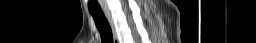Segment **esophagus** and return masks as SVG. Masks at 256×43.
<instances>
[{
    "label": "esophagus",
    "instance_id": "esophagus-1",
    "mask_svg": "<svg viewBox=\"0 0 256 43\" xmlns=\"http://www.w3.org/2000/svg\"><path fill=\"white\" fill-rule=\"evenodd\" d=\"M109 24H110V27L112 29V33H113V42L114 43H119V40H118V37H117V34H116V30H115V24H114V21H113V18H112V15H111V12L109 11V9H104L103 10Z\"/></svg>",
    "mask_w": 256,
    "mask_h": 43
}]
</instances>
